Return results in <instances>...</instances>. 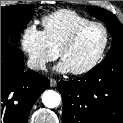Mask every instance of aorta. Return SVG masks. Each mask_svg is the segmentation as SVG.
I'll use <instances>...</instances> for the list:
<instances>
[{"mask_svg": "<svg viewBox=\"0 0 123 123\" xmlns=\"http://www.w3.org/2000/svg\"><path fill=\"white\" fill-rule=\"evenodd\" d=\"M42 102L48 108H55L60 105L61 96L56 91L46 90L42 94Z\"/></svg>", "mask_w": 123, "mask_h": 123, "instance_id": "1", "label": "aorta"}]
</instances>
